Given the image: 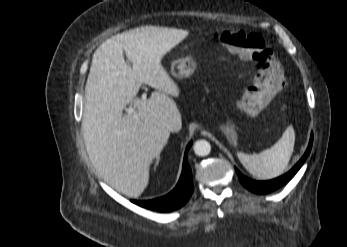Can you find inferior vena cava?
I'll return each mask as SVG.
<instances>
[{"label":"inferior vena cava","instance_id":"obj_1","mask_svg":"<svg viewBox=\"0 0 347 247\" xmlns=\"http://www.w3.org/2000/svg\"><path fill=\"white\" fill-rule=\"evenodd\" d=\"M164 128L167 130V131H173L174 129V122H166L164 123Z\"/></svg>","mask_w":347,"mask_h":247}]
</instances>
